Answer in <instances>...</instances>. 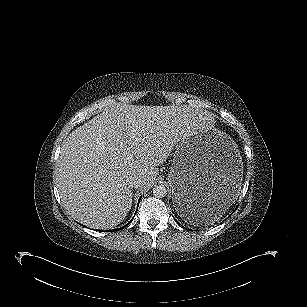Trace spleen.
I'll return each instance as SVG.
<instances>
[{"mask_svg": "<svg viewBox=\"0 0 307 307\" xmlns=\"http://www.w3.org/2000/svg\"><path fill=\"white\" fill-rule=\"evenodd\" d=\"M225 210H218L217 212L211 213V212H200L197 215H195L191 220H189L190 223L193 224H200V225H210L218 221Z\"/></svg>", "mask_w": 307, "mask_h": 307, "instance_id": "3e777b00", "label": "spleen"}]
</instances>
